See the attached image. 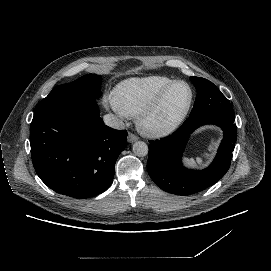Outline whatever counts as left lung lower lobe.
<instances>
[{"instance_id": "left-lung-lower-lobe-1", "label": "left lung lower lobe", "mask_w": 271, "mask_h": 271, "mask_svg": "<svg viewBox=\"0 0 271 271\" xmlns=\"http://www.w3.org/2000/svg\"><path fill=\"white\" fill-rule=\"evenodd\" d=\"M235 115L203 112L190 115L172 135L150 141L147 170L151 179L162 190L189 195L200 192L219 181L228 171L237 139ZM205 124H215L224 131V139L211 165L203 170H191L181 162L189 135Z\"/></svg>"}]
</instances>
